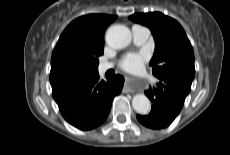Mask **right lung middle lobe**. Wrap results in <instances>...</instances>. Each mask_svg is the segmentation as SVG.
<instances>
[{
    "label": "right lung middle lobe",
    "mask_w": 230,
    "mask_h": 155,
    "mask_svg": "<svg viewBox=\"0 0 230 155\" xmlns=\"http://www.w3.org/2000/svg\"><path fill=\"white\" fill-rule=\"evenodd\" d=\"M96 71H97V68H94V69H92V70H90V71L84 72L83 75H89V74H92V73H94V72H96Z\"/></svg>",
    "instance_id": "right-lung-middle-lobe-1"
}]
</instances>
